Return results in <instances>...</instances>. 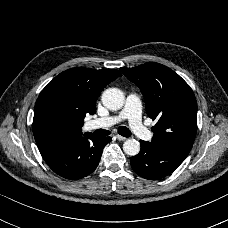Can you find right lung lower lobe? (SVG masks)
<instances>
[{"instance_id":"98d812e1","label":"right lung lower lobe","mask_w":228,"mask_h":228,"mask_svg":"<svg viewBox=\"0 0 228 228\" xmlns=\"http://www.w3.org/2000/svg\"><path fill=\"white\" fill-rule=\"evenodd\" d=\"M110 137L85 134L40 150L48 166L58 175L71 180L91 174L100 161L103 148Z\"/></svg>"}]
</instances>
